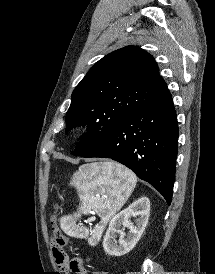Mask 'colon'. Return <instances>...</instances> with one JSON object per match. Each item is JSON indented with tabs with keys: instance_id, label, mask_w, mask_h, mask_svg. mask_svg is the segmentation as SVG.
Segmentation results:
<instances>
[{
	"instance_id": "obj_1",
	"label": "colon",
	"mask_w": 215,
	"mask_h": 274,
	"mask_svg": "<svg viewBox=\"0 0 215 274\" xmlns=\"http://www.w3.org/2000/svg\"><path fill=\"white\" fill-rule=\"evenodd\" d=\"M52 240L54 243H56L59 246H65L67 244V238L61 231L59 225H58V219L57 216L54 215L52 217ZM102 274H109L108 270H104L101 272Z\"/></svg>"
}]
</instances>
